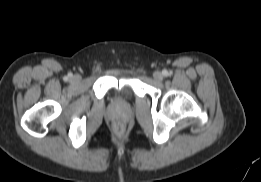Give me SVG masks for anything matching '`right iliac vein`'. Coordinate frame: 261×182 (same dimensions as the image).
Returning a JSON list of instances; mask_svg holds the SVG:
<instances>
[{
  "label": "right iliac vein",
  "mask_w": 261,
  "mask_h": 182,
  "mask_svg": "<svg viewBox=\"0 0 261 182\" xmlns=\"http://www.w3.org/2000/svg\"><path fill=\"white\" fill-rule=\"evenodd\" d=\"M73 79H74L75 81H79V80H80V76H79V75H75V76L73 77Z\"/></svg>",
  "instance_id": "63e3f726"
}]
</instances>
